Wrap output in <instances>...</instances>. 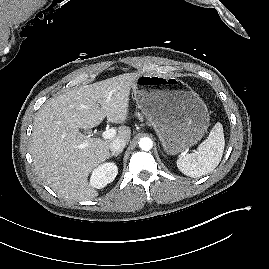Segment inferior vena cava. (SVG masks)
<instances>
[{
  "label": "inferior vena cava",
  "instance_id": "inferior-vena-cava-1",
  "mask_svg": "<svg viewBox=\"0 0 269 269\" xmlns=\"http://www.w3.org/2000/svg\"><path fill=\"white\" fill-rule=\"evenodd\" d=\"M125 145H126V140L117 138L109 144V149L112 152L116 153L119 151H123Z\"/></svg>",
  "mask_w": 269,
  "mask_h": 269
}]
</instances>
